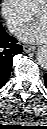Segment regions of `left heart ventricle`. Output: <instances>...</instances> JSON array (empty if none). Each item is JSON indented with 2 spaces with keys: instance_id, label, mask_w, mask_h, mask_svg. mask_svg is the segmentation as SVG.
Returning a JSON list of instances; mask_svg holds the SVG:
<instances>
[{
  "instance_id": "b2bd125f",
  "label": "left heart ventricle",
  "mask_w": 47,
  "mask_h": 129,
  "mask_svg": "<svg viewBox=\"0 0 47 129\" xmlns=\"http://www.w3.org/2000/svg\"><path fill=\"white\" fill-rule=\"evenodd\" d=\"M38 22H41V23H46V15L45 13H40L38 14L36 17H34Z\"/></svg>"
}]
</instances>
